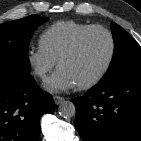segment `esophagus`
<instances>
[{
	"instance_id": "obj_1",
	"label": "esophagus",
	"mask_w": 141,
	"mask_h": 141,
	"mask_svg": "<svg viewBox=\"0 0 141 141\" xmlns=\"http://www.w3.org/2000/svg\"><path fill=\"white\" fill-rule=\"evenodd\" d=\"M53 99L56 105L61 104L65 100L63 97L60 96H54Z\"/></svg>"
}]
</instances>
